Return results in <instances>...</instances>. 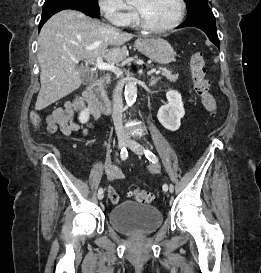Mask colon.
<instances>
[{"label": "colon", "mask_w": 261, "mask_h": 273, "mask_svg": "<svg viewBox=\"0 0 261 273\" xmlns=\"http://www.w3.org/2000/svg\"><path fill=\"white\" fill-rule=\"evenodd\" d=\"M190 67L196 95L201 99L203 106L211 116H215L217 103L214 96L210 93V82L206 77V63L202 52H193L190 58ZM32 121L36 126L39 125V116L33 114ZM132 195L140 203H151L155 199L153 192L143 189H134Z\"/></svg>", "instance_id": "5ec220e1"}]
</instances>
